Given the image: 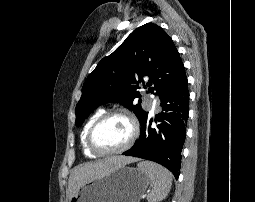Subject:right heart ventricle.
<instances>
[{
  "mask_svg": "<svg viewBox=\"0 0 255 202\" xmlns=\"http://www.w3.org/2000/svg\"><path fill=\"white\" fill-rule=\"evenodd\" d=\"M102 114V111L99 110L97 112H95L86 122V124L84 125L81 135H80V140H81V145H82V149L83 152L86 156L94 158L96 157V155L94 153H92L90 151V149L87 146V142H86V137H87V133L89 128L91 127L92 123Z\"/></svg>",
  "mask_w": 255,
  "mask_h": 202,
  "instance_id": "right-heart-ventricle-1",
  "label": "right heart ventricle"
}]
</instances>
